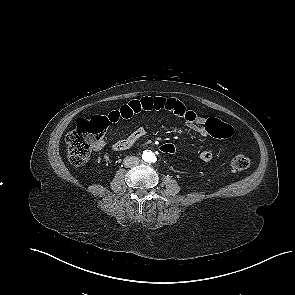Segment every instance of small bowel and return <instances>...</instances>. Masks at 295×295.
<instances>
[{"instance_id":"1","label":"small bowel","mask_w":295,"mask_h":295,"mask_svg":"<svg viewBox=\"0 0 295 295\" xmlns=\"http://www.w3.org/2000/svg\"><path fill=\"white\" fill-rule=\"evenodd\" d=\"M149 111L170 112L185 121L186 126L192 132L201 136L209 134L206 124L210 119L198 115L195 111L188 109L181 101L174 98L146 96L140 99L132 100L127 104L120 106L118 109L110 111L103 116L107 123H116L121 119H130L136 114ZM146 134L144 128L140 127L129 134L127 137L116 141L112 148L115 151H125L130 149L137 141ZM103 143L98 144L101 148ZM199 158L203 162H209L213 158L210 150H202Z\"/></svg>"}]
</instances>
